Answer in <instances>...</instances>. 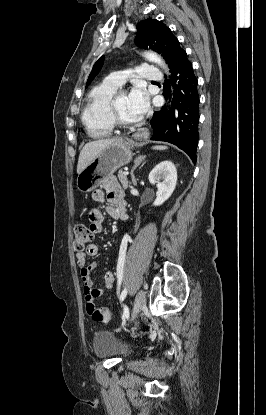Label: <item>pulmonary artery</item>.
<instances>
[{
  "instance_id": "e3ab8cb5",
  "label": "pulmonary artery",
  "mask_w": 266,
  "mask_h": 415,
  "mask_svg": "<svg viewBox=\"0 0 266 415\" xmlns=\"http://www.w3.org/2000/svg\"><path fill=\"white\" fill-rule=\"evenodd\" d=\"M138 73L141 78L149 81H159L162 79V74L159 69L152 65L142 64L138 68ZM125 80L126 74L124 72H113L105 78L104 82L115 87H120Z\"/></svg>"
}]
</instances>
